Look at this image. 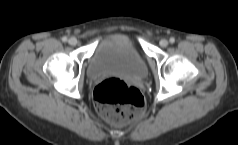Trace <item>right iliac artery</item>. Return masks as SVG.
Wrapping results in <instances>:
<instances>
[{
    "mask_svg": "<svg viewBox=\"0 0 238 145\" xmlns=\"http://www.w3.org/2000/svg\"><path fill=\"white\" fill-rule=\"evenodd\" d=\"M62 41H63V42H66V41H67V37H63V38H62Z\"/></svg>",
    "mask_w": 238,
    "mask_h": 145,
    "instance_id": "82829eb1",
    "label": "right iliac artery"
}]
</instances>
